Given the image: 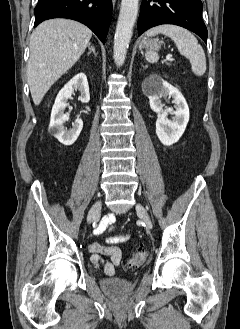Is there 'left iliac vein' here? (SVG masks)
Returning a JSON list of instances; mask_svg holds the SVG:
<instances>
[{"label": "left iliac vein", "instance_id": "1", "mask_svg": "<svg viewBox=\"0 0 240 329\" xmlns=\"http://www.w3.org/2000/svg\"><path fill=\"white\" fill-rule=\"evenodd\" d=\"M136 210H137V213L139 214V216L146 223L147 227L151 229L153 225H152L151 219H150L146 209L141 204H137Z\"/></svg>", "mask_w": 240, "mask_h": 329}]
</instances>
